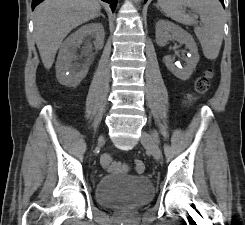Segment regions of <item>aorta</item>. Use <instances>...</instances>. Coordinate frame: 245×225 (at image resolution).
Returning a JSON list of instances; mask_svg holds the SVG:
<instances>
[{"mask_svg": "<svg viewBox=\"0 0 245 225\" xmlns=\"http://www.w3.org/2000/svg\"><path fill=\"white\" fill-rule=\"evenodd\" d=\"M135 3H139L141 0H133Z\"/></svg>", "mask_w": 245, "mask_h": 225, "instance_id": "aorta-1", "label": "aorta"}]
</instances>
